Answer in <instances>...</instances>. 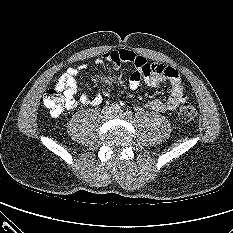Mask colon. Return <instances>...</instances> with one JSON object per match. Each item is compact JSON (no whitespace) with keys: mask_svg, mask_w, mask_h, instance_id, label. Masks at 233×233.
I'll return each instance as SVG.
<instances>
[{"mask_svg":"<svg viewBox=\"0 0 233 233\" xmlns=\"http://www.w3.org/2000/svg\"><path fill=\"white\" fill-rule=\"evenodd\" d=\"M43 104L48 111L54 115H60L65 106H67V99L62 94V91L57 87L48 89L43 97ZM196 115V110L189 102H183L178 109V118L182 122L191 121Z\"/></svg>","mask_w":233,"mask_h":233,"instance_id":"1","label":"colon"}]
</instances>
